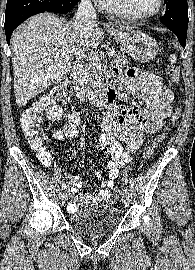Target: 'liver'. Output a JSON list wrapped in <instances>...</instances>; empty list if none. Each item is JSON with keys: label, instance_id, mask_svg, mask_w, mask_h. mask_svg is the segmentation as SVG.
I'll list each match as a JSON object with an SVG mask.
<instances>
[{"label": "liver", "instance_id": "6515ba94", "mask_svg": "<svg viewBox=\"0 0 195 270\" xmlns=\"http://www.w3.org/2000/svg\"><path fill=\"white\" fill-rule=\"evenodd\" d=\"M121 30L133 27L116 22ZM104 39L95 23L81 31L77 21L67 22L50 13L29 18L11 38L14 92L18 106L60 83L70 72L74 57L97 48Z\"/></svg>", "mask_w": 195, "mask_h": 270}]
</instances>
